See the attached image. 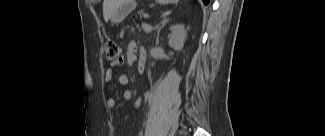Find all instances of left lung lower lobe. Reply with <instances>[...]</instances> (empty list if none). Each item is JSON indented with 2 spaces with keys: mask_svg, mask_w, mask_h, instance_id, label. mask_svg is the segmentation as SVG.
<instances>
[{
  "mask_svg": "<svg viewBox=\"0 0 325 136\" xmlns=\"http://www.w3.org/2000/svg\"><path fill=\"white\" fill-rule=\"evenodd\" d=\"M203 2H204L205 4H207V3L209 2V0H203Z\"/></svg>",
  "mask_w": 325,
  "mask_h": 136,
  "instance_id": "0a47b994",
  "label": "left lung lower lobe"
}]
</instances>
